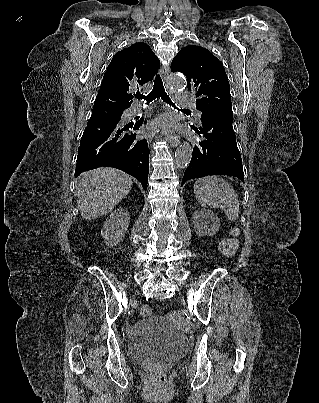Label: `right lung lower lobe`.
<instances>
[{
    "label": "right lung lower lobe",
    "mask_w": 319,
    "mask_h": 403,
    "mask_svg": "<svg viewBox=\"0 0 319 403\" xmlns=\"http://www.w3.org/2000/svg\"><path fill=\"white\" fill-rule=\"evenodd\" d=\"M143 119L122 124V114L90 118L78 149L75 176L94 168H118L138 179L147 189L149 148L137 131Z\"/></svg>",
    "instance_id": "1"
}]
</instances>
